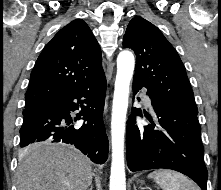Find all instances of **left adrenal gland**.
Here are the masks:
<instances>
[{
	"label": "left adrenal gland",
	"mask_w": 221,
	"mask_h": 190,
	"mask_svg": "<svg viewBox=\"0 0 221 190\" xmlns=\"http://www.w3.org/2000/svg\"><path fill=\"white\" fill-rule=\"evenodd\" d=\"M134 190H137V189H136V186H134Z\"/></svg>",
	"instance_id": "a2214340"
}]
</instances>
